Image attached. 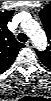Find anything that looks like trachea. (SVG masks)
I'll return each instance as SVG.
<instances>
[{"instance_id":"trachea-1","label":"trachea","mask_w":51,"mask_h":101,"mask_svg":"<svg viewBox=\"0 0 51 101\" xmlns=\"http://www.w3.org/2000/svg\"><path fill=\"white\" fill-rule=\"evenodd\" d=\"M18 40H19L20 42L25 43V42H27L28 38H27L26 34L20 33V34L18 35Z\"/></svg>"}]
</instances>
